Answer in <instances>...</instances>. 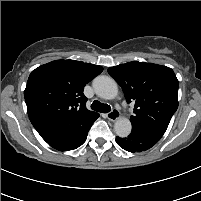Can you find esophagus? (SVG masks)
<instances>
[{
	"label": "esophagus",
	"mask_w": 201,
	"mask_h": 201,
	"mask_svg": "<svg viewBox=\"0 0 201 201\" xmlns=\"http://www.w3.org/2000/svg\"><path fill=\"white\" fill-rule=\"evenodd\" d=\"M107 118L110 121H116L120 118V112L117 109H112L109 113H107Z\"/></svg>",
	"instance_id": "obj_1"
}]
</instances>
